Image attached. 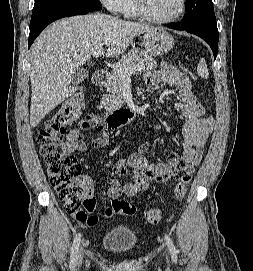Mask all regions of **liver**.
I'll return each mask as SVG.
<instances>
[{"label":"liver","mask_w":253,"mask_h":271,"mask_svg":"<svg viewBox=\"0 0 253 271\" xmlns=\"http://www.w3.org/2000/svg\"><path fill=\"white\" fill-rule=\"evenodd\" d=\"M154 29L99 13L61 19L47 27L30 51L31 127L75 93L72 78L95 51L106 45L107 57L118 56L135 36Z\"/></svg>","instance_id":"6515ba94"}]
</instances>
